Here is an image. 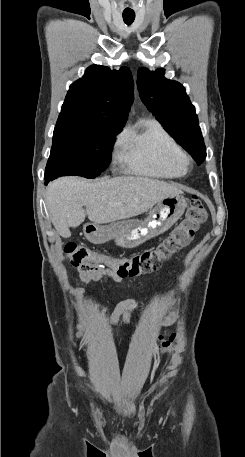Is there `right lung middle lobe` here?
Masks as SVG:
<instances>
[{
	"label": "right lung middle lobe",
	"mask_w": 245,
	"mask_h": 457,
	"mask_svg": "<svg viewBox=\"0 0 245 457\" xmlns=\"http://www.w3.org/2000/svg\"><path fill=\"white\" fill-rule=\"evenodd\" d=\"M125 122L60 116L45 170L46 183L63 175L95 178L110 163L112 143Z\"/></svg>",
	"instance_id": "dd1d6c3e"
}]
</instances>
